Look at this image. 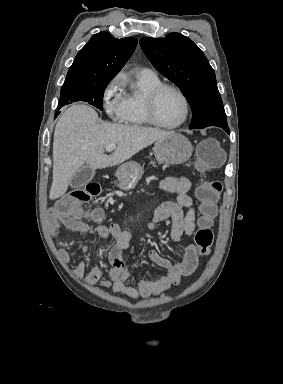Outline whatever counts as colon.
Listing matches in <instances>:
<instances>
[{
    "label": "colon",
    "instance_id": "colon-1",
    "mask_svg": "<svg viewBox=\"0 0 283 384\" xmlns=\"http://www.w3.org/2000/svg\"><path fill=\"white\" fill-rule=\"evenodd\" d=\"M224 154L214 139H206L197 147V165L200 170L207 171L221 165ZM223 185L219 180L206 181L196 189V197L199 201L198 229L194 235V242L200 253L209 252L213 242L212 224L217 214V202L222 193ZM97 183H89L77 188L60 199L56 205L58 211L74 216L83 214V206L100 193ZM91 216L95 220L102 218L100 211H94Z\"/></svg>",
    "mask_w": 283,
    "mask_h": 384
}]
</instances>
